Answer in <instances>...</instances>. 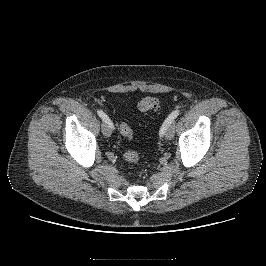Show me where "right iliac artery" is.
Listing matches in <instances>:
<instances>
[{
    "instance_id": "obj_1",
    "label": "right iliac artery",
    "mask_w": 266,
    "mask_h": 266,
    "mask_svg": "<svg viewBox=\"0 0 266 266\" xmlns=\"http://www.w3.org/2000/svg\"><path fill=\"white\" fill-rule=\"evenodd\" d=\"M97 114L99 115V117H101V119L105 123H107L111 127V129H114L113 123L111 122L109 117L102 110H97Z\"/></svg>"
}]
</instances>
